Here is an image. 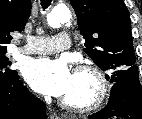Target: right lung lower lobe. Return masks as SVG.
<instances>
[{
  "instance_id": "98d812e1",
  "label": "right lung lower lobe",
  "mask_w": 142,
  "mask_h": 119,
  "mask_svg": "<svg viewBox=\"0 0 142 119\" xmlns=\"http://www.w3.org/2000/svg\"><path fill=\"white\" fill-rule=\"evenodd\" d=\"M1 119H46V105L23 86L18 75L0 81Z\"/></svg>"
}]
</instances>
